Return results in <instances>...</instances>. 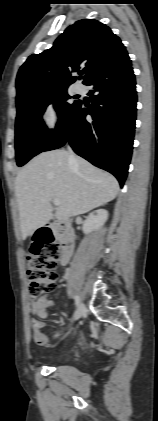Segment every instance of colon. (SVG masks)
I'll return each mask as SVG.
<instances>
[{"instance_id": "5ec220e1", "label": "colon", "mask_w": 158, "mask_h": 421, "mask_svg": "<svg viewBox=\"0 0 158 421\" xmlns=\"http://www.w3.org/2000/svg\"><path fill=\"white\" fill-rule=\"evenodd\" d=\"M61 250L49 233L36 234L27 256L29 297L32 302L47 300L57 284L55 268Z\"/></svg>"}]
</instances>
